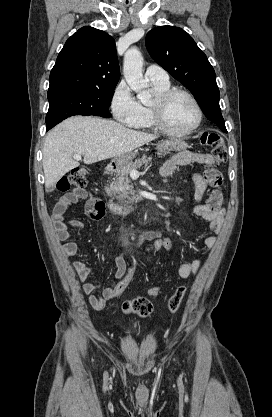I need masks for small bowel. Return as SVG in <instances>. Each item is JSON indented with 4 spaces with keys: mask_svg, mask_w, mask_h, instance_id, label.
I'll return each mask as SVG.
<instances>
[{
    "mask_svg": "<svg viewBox=\"0 0 272 417\" xmlns=\"http://www.w3.org/2000/svg\"><path fill=\"white\" fill-rule=\"evenodd\" d=\"M213 162L214 159L211 154L181 151L173 155L161 166L160 175L163 178H167L173 175L181 166H187L192 163L207 164L211 166ZM191 177L195 185V200L201 202V204L194 208V212L196 215L206 220L209 223L212 232L217 234L220 232L224 220V200L222 195L216 190L211 192L206 199L205 195L209 188L216 189L221 185V173L215 168H209L203 175L191 173ZM79 202H84L85 213L90 219L101 220L105 216V207L102 200L89 193L84 188H74L60 197L53 209L52 220L55 225L57 238L61 241H67L62 245V254L65 257L75 256L82 249L80 244L69 241V239L70 229H82L84 228V224L77 220H65L67 209L71 205ZM161 235L162 234L159 231H148L133 240L130 244L143 243ZM215 243V235H210L203 239V245L206 248H212ZM201 263V260L180 263L177 270L178 275L181 278L194 276L199 271ZM114 264L116 267L114 280L109 286L103 289L102 295L98 296L95 295L94 292L100 288V282H85L92 275V269L82 261H75L72 263V268L75 271L79 282L82 284L81 289L83 293L87 295L89 304L95 310H102L105 307L106 302L114 298V288L125 275L127 266L121 254L115 256Z\"/></svg>",
    "mask_w": 272,
    "mask_h": 417,
    "instance_id": "small-bowel-1",
    "label": "small bowel"
}]
</instances>
